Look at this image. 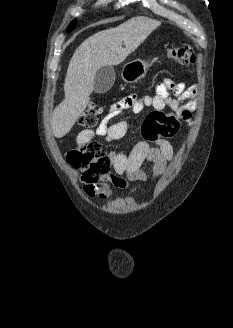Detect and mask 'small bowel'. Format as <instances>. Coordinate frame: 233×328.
<instances>
[{
    "label": "small bowel",
    "mask_w": 233,
    "mask_h": 328,
    "mask_svg": "<svg viewBox=\"0 0 233 328\" xmlns=\"http://www.w3.org/2000/svg\"><path fill=\"white\" fill-rule=\"evenodd\" d=\"M169 91H172L175 97H171ZM196 94L195 85L187 87L184 83H175L171 79H165L157 85L154 95L131 94L114 103L97 129L81 131L77 141L79 144L87 143L96 135L108 142L121 139L127 132V122L124 120L112 124L110 122L128 109L138 113L146 107L158 111L170 108L179 119L190 122L192 111L196 106ZM172 156L173 147L165 139L154 143L141 141L129 153L113 152L110 158L114 172L105 176L103 182L96 188L86 189V194L90 197L106 199L110 196V187L125 188L131 181L145 182L147 176L141 168L145 162L153 164L154 177L157 178L164 172Z\"/></svg>",
    "instance_id": "c3829d8e"
}]
</instances>
